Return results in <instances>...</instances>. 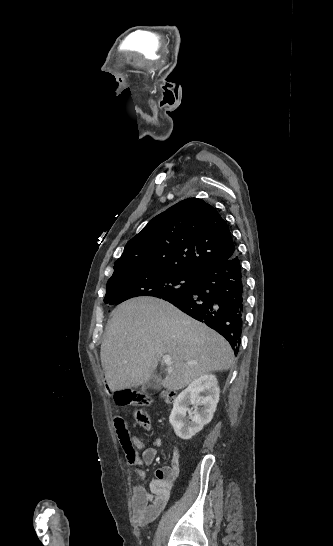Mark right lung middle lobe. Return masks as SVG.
I'll list each match as a JSON object with an SVG mask.
<instances>
[{
  "label": "right lung middle lobe",
  "instance_id": "obj_1",
  "mask_svg": "<svg viewBox=\"0 0 333 546\" xmlns=\"http://www.w3.org/2000/svg\"><path fill=\"white\" fill-rule=\"evenodd\" d=\"M199 276L151 271L128 266L114 270L106 286L105 303L118 305L138 296L163 298L184 294L196 285Z\"/></svg>",
  "mask_w": 333,
  "mask_h": 546
}]
</instances>
